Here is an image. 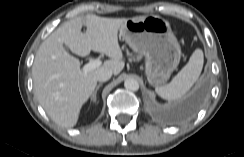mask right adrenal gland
Wrapping results in <instances>:
<instances>
[{
	"instance_id": "2a0ac1e0",
	"label": "right adrenal gland",
	"mask_w": 244,
	"mask_h": 157,
	"mask_svg": "<svg viewBox=\"0 0 244 157\" xmlns=\"http://www.w3.org/2000/svg\"><path fill=\"white\" fill-rule=\"evenodd\" d=\"M101 86H102V83L98 84L97 87H96V89H95V91L93 92V94H92V96H91V100H92L93 102H96V95H97V92H98V90H99V88H100Z\"/></svg>"
}]
</instances>
